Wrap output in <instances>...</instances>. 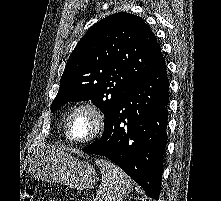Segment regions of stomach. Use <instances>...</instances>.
<instances>
[{
    "mask_svg": "<svg viewBox=\"0 0 221 201\" xmlns=\"http://www.w3.org/2000/svg\"><path fill=\"white\" fill-rule=\"evenodd\" d=\"M28 171L35 178L62 182L77 190L88 189L97 180L96 171L91 164L54 149H45L34 154L29 159Z\"/></svg>",
    "mask_w": 221,
    "mask_h": 201,
    "instance_id": "obj_1",
    "label": "stomach"
}]
</instances>
